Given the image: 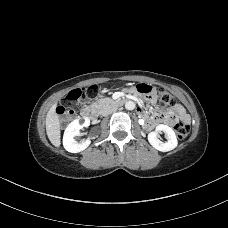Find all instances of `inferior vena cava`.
Here are the masks:
<instances>
[{
  "label": "inferior vena cava",
  "mask_w": 228,
  "mask_h": 228,
  "mask_svg": "<svg viewBox=\"0 0 228 228\" xmlns=\"http://www.w3.org/2000/svg\"><path fill=\"white\" fill-rule=\"evenodd\" d=\"M116 109H117V107H107V108H105V109L102 111V115H103V116H107V115H109V114L115 112Z\"/></svg>",
  "instance_id": "obj_1"
}]
</instances>
